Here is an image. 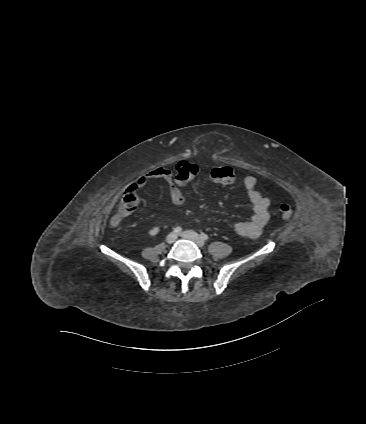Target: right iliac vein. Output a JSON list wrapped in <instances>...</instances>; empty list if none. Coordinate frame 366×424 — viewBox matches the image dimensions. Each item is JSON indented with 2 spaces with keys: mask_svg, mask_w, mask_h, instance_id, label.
I'll use <instances>...</instances> for the list:
<instances>
[{
  "mask_svg": "<svg viewBox=\"0 0 366 424\" xmlns=\"http://www.w3.org/2000/svg\"><path fill=\"white\" fill-rule=\"evenodd\" d=\"M176 239H177V235H176V233H170V234H168V236L166 237V241H167V243H169V244L174 243V242L176 241Z\"/></svg>",
  "mask_w": 366,
  "mask_h": 424,
  "instance_id": "1",
  "label": "right iliac vein"
}]
</instances>
